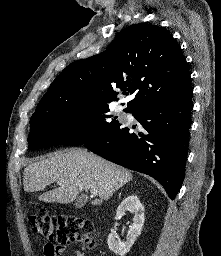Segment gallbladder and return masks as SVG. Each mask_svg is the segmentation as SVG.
<instances>
[{"instance_id":"bac80fb5","label":"gallbladder","mask_w":221,"mask_h":256,"mask_svg":"<svg viewBox=\"0 0 221 256\" xmlns=\"http://www.w3.org/2000/svg\"><path fill=\"white\" fill-rule=\"evenodd\" d=\"M86 202H87V197L80 196L75 202V207L80 209L86 204Z\"/></svg>"}]
</instances>
